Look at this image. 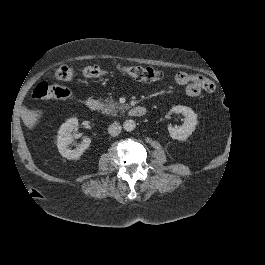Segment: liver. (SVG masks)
<instances>
[{
	"label": "liver",
	"instance_id": "6515ba94",
	"mask_svg": "<svg viewBox=\"0 0 265 265\" xmlns=\"http://www.w3.org/2000/svg\"><path fill=\"white\" fill-rule=\"evenodd\" d=\"M44 115L45 111L41 108H25L23 110L22 119L28 129L34 131L39 126Z\"/></svg>",
	"mask_w": 265,
	"mask_h": 265
}]
</instances>
